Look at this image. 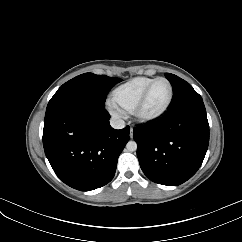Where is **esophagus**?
<instances>
[{
	"label": "esophagus",
	"instance_id": "obj_1",
	"mask_svg": "<svg viewBox=\"0 0 242 242\" xmlns=\"http://www.w3.org/2000/svg\"><path fill=\"white\" fill-rule=\"evenodd\" d=\"M130 137L133 138V129H130Z\"/></svg>",
	"mask_w": 242,
	"mask_h": 242
}]
</instances>
